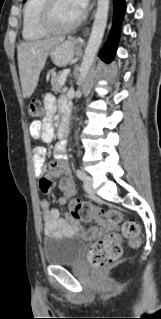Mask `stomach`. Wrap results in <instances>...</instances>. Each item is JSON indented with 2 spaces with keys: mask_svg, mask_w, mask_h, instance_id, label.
Returning a JSON list of instances; mask_svg holds the SVG:
<instances>
[{
  "mask_svg": "<svg viewBox=\"0 0 161 319\" xmlns=\"http://www.w3.org/2000/svg\"><path fill=\"white\" fill-rule=\"evenodd\" d=\"M75 42L72 40L64 41L51 49V59L57 66L66 65L75 54Z\"/></svg>",
  "mask_w": 161,
  "mask_h": 319,
  "instance_id": "obj_1",
  "label": "stomach"
}]
</instances>
